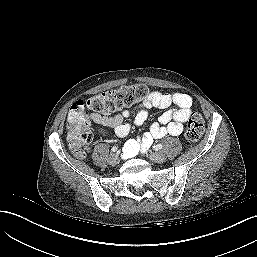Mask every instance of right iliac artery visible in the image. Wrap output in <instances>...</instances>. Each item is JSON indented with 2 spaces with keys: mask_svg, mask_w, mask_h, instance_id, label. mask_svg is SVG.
Wrapping results in <instances>:
<instances>
[{
  "mask_svg": "<svg viewBox=\"0 0 257 257\" xmlns=\"http://www.w3.org/2000/svg\"><path fill=\"white\" fill-rule=\"evenodd\" d=\"M117 147H113L111 150L113 151V152H115V151H117Z\"/></svg>",
  "mask_w": 257,
  "mask_h": 257,
  "instance_id": "right-iliac-artery-1",
  "label": "right iliac artery"
}]
</instances>
